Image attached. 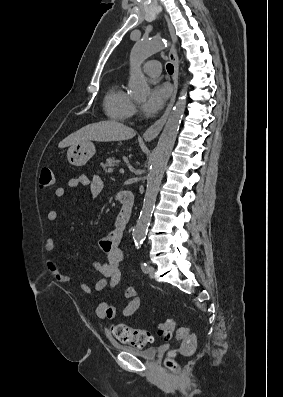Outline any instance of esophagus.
Wrapping results in <instances>:
<instances>
[{"label": "esophagus", "mask_w": 283, "mask_h": 397, "mask_svg": "<svg viewBox=\"0 0 283 397\" xmlns=\"http://www.w3.org/2000/svg\"><path fill=\"white\" fill-rule=\"evenodd\" d=\"M167 24H168V28H169V32H170V36L172 39L173 44L175 45L177 43V36L175 34L174 28L170 22V20L168 19L167 16H165ZM169 59L171 61V63L173 64L174 67V73H173V85H174V90H173V94L171 97V100L166 108V110L164 111L163 115L153 124L151 125L143 134V138L146 141H151L153 139H155L159 133L161 132L168 116L169 113L173 107V104L175 102L176 99V95H177V91H178V76H179V60H178V54H177V50L173 47L169 53Z\"/></svg>", "instance_id": "34e87169"}]
</instances>
